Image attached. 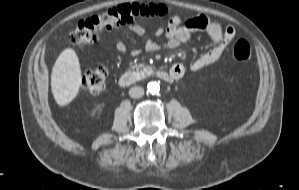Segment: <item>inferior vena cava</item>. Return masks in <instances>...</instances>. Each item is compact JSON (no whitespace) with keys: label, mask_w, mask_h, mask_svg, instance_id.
<instances>
[{"label":"inferior vena cava","mask_w":299,"mask_h":190,"mask_svg":"<svg viewBox=\"0 0 299 190\" xmlns=\"http://www.w3.org/2000/svg\"><path fill=\"white\" fill-rule=\"evenodd\" d=\"M130 95L131 97H134V98H139V97H142L144 95V89L141 88V87H132L130 89Z\"/></svg>","instance_id":"1"}]
</instances>
